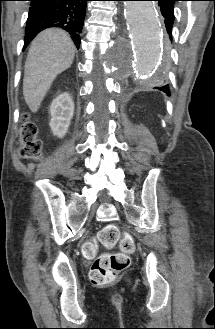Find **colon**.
I'll list each match as a JSON object with an SVG mask.
<instances>
[{
    "label": "colon",
    "instance_id": "obj_1",
    "mask_svg": "<svg viewBox=\"0 0 215 329\" xmlns=\"http://www.w3.org/2000/svg\"><path fill=\"white\" fill-rule=\"evenodd\" d=\"M19 154L24 159L40 160L43 156L42 142L37 138V127L31 121L23 122L20 133ZM99 241L107 248L120 244L121 252L104 253L99 255L92 264L90 279L94 285L102 286L114 281L117 274L125 270L131 262L130 254L134 250V240L130 235L120 237L115 225L105 226L98 234ZM95 252L93 242H87L82 247L85 256H92Z\"/></svg>",
    "mask_w": 215,
    "mask_h": 329
}]
</instances>
